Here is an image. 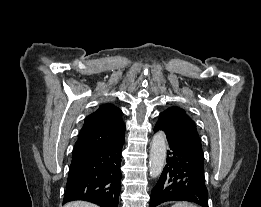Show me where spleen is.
<instances>
[{
  "label": "spleen",
  "instance_id": "spleen-1",
  "mask_svg": "<svg viewBox=\"0 0 261 207\" xmlns=\"http://www.w3.org/2000/svg\"><path fill=\"white\" fill-rule=\"evenodd\" d=\"M172 207H198V206H195L193 204H188L186 202H178L175 205H173Z\"/></svg>",
  "mask_w": 261,
  "mask_h": 207
}]
</instances>
